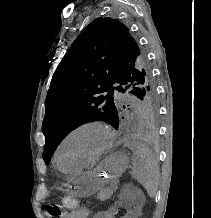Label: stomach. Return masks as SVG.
Here are the masks:
<instances>
[{"label":"stomach","mask_w":211,"mask_h":218,"mask_svg":"<svg viewBox=\"0 0 211 218\" xmlns=\"http://www.w3.org/2000/svg\"><path fill=\"white\" fill-rule=\"evenodd\" d=\"M129 158L123 152H115L103 160L95 169L71 179L73 193L78 197H88L101 190L106 184L118 179L128 168Z\"/></svg>","instance_id":"0dacf381"}]
</instances>
